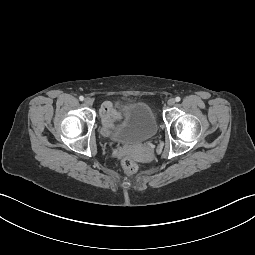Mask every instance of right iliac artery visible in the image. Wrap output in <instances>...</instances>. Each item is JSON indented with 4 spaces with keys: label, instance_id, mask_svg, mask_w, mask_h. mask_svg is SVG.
Wrapping results in <instances>:
<instances>
[{
    "label": "right iliac artery",
    "instance_id": "1",
    "mask_svg": "<svg viewBox=\"0 0 255 255\" xmlns=\"http://www.w3.org/2000/svg\"><path fill=\"white\" fill-rule=\"evenodd\" d=\"M79 99H80V101H83V100H84V97H83V96H80Z\"/></svg>",
    "mask_w": 255,
    "mask_h": 255
}]
</instances>
